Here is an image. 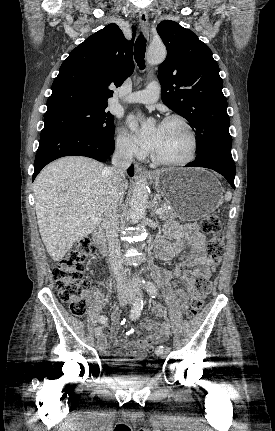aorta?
<instances>
[{
  "instance_id": "aorta-1",
  "label": "aorta",
  "mask_w": 275,
  "mask_h": 431,
  "mask_svg": "<svg viewBox=\"0 0 275 431\" xmlns=\"http://www.w3.org/2000/svg\"><path fill=\"white\" fill-rule=\"evenodd\" d=\"M166 48L163 45L151 46L147 52V62L151 65L159 64L166 58ZM147 124H143L146 127ZM149 198V188L145 179H140L134 187L130 202V220L137 223L146 212Z\"/></svg>"
}]
</instances>
